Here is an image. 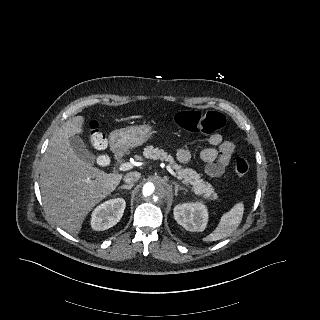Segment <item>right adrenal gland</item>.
<instances>
[{"mask_svg": "<svg viewBox=\"0 0 320 320\" xmlns=\"http://www.w3.org/2000/svg\"><path fill=\"white\" fill-rule=\"evenodd\" d=\"M133 186H134V184L123 185V186H120L119 189H127V190H130Z\"/></svg>", "mask_w": 320, "mask_h": 320, "instance_id": "2a0ac1e0", "label": "right adrenal gland"}]
</instances>
